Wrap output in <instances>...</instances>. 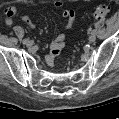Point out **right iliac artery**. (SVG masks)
<instances>
[{
  "mask_svg": "<svg viewBox=\"0 0 119 119\" xmlns=\"http://www.w3.org/2000/svg\"><path fill=\"white\" fill-rule=\"evenodd\" d=\"M27 41H28V39H24V40H23V43L25 44Z\"/></svg>",
  "mask_w": 119,
  "mask_h": 119,
  "instance_id": "obj_1",
  "label": "right iliac artery"
}]
</instances>
